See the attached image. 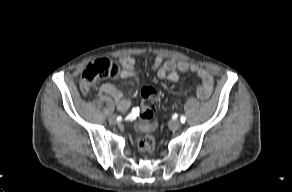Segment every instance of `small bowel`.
<instances>
[{
  "mask_svg": "<svg viewBox=\"0 0 292 192\" xmlns=\"http://www.w3.org/2000/svg\"><path fill=\"white\" fill-rule=\"evenodd\" d=\"M121 75L124 77L139 76L140 72L136 68V60L133 57H123L118 62ZM154 68L157 71L159 79H167L175 83H179V72H192L199 76L202 85L197 88V96L200 99H206L213 89V77L209 71L196 64L188 63L185 61L164 60L162 57L157 56L154 59ZM100 91L111 96L117 107L120 110H127L131 106V100L128 95L130 90L123 92L110 83H104L100 87ZM181 102V94H178L174 99V104Z\"/></svg>",
  "mask_w": 292,
  "mask_h": 192,
  "instance_id": "c3829d8e",
  "label": "small bowel"
}]
</instances>
